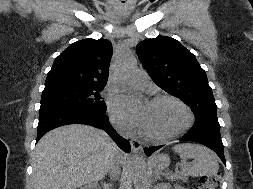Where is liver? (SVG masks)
Masks as SVG:
<instances>
[{
  "label": "liver",
  "mask_w": 253,
  "mask_h": 189,
  "mask_svg": "<svg viewBox=\"0 0 253 189\" xmlns=\"http://www.w3.org/2000/svg\"><path fill=\"white\" fill-rule=\"evenodd\" d=\"M124 154L102 130L67 125L46 133L35 148L34 189H76L101 180Z\"/></svg>",
  "instance_id": "1"
}]
</instances>
